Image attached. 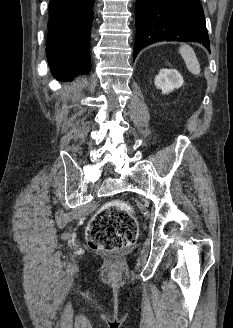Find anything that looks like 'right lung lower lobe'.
I'll return each mask as SVG.
<instances>
[{"instance_id": "1", "label": "right lung lower lobe", "mask_w": 233, "mask_h": 328, "mask_svg": "<svg viewBox=\"0 0 233 328\" xmlns=\"http://www.w3.org/2000/svg\"><path fill=\"white\" fill-rule=\"evenodd\" d=\"M94 0H50L46 53L58 80L90 72L89 39Z\"/></svg>"}]
</instances>
